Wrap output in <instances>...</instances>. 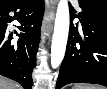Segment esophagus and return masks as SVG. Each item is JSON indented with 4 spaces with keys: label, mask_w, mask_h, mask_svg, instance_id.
I'll list each match as a JSON object with an SVG mask.
<instances>
[{
    "label": "esophagus",
    "mask_w": 107,
    "mask_h": 89,
    "mask_svg": "<svg viewBox=\"0 0 107 89\" xmlns=\"http://www.w3.org/2000/svg\"><path fill=\"white\" fill-rule=\"evenodd\" d=\"M56 4H57V0H50V10L47 11L42 26L43 32H50L52 30L51 22L54 20Z\"/></svg>",
    "instance_id": "34e87169"
}]
</instances>
